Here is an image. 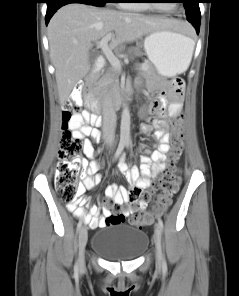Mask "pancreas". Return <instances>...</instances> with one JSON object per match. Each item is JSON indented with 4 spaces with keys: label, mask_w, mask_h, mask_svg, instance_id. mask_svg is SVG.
Wrapping results in <instances>:
<instances>
[{
    "label": "pancreas",
    "mask_w": 239,
    "mask_h": 296,
    "mask_svg": "<svg viewBox=\"0 0 239 296\" xmlns=\"http://www.w3.org/2000/svg\"><path fill=\"white\" fill-rule=\"evenodd\" d=\"M130 55L135 54V55H139L140 52L136 49L134 50H130L128 52ZM147 66V70L143 72V75L145 77H152L153 75H155V70L152 67V65L150 63H146L145 64ZM99 86L96 88L97 91L101 92L102 88L104 86H106L107 84H110L112 86V90L117 93L119 91V80H118V76L116 75V73L114 72L113 69H110L105 75H103L100 79H99Z\"/></svg>",
    "instance_id": "cf45deb5"
}]
</instances>
